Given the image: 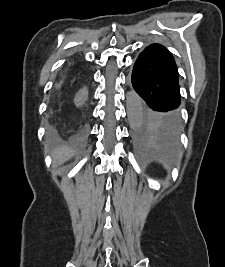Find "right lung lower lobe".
Instances as JSON below:
<instances>
[{"label":"right lung lower lobe","instance_id":"right-lung-lower-lobe-1","mask_svg":"<svg viewBox=\"0 0 225 267\" xmlns=\"http://www.w3.org/2000/svg\"><path fill=\"white\" fill-rule=\"evenodd\" d=\"M86 75L87 73L85 68L80 64L69 67L62 74V77L59 81V89H63L65 87H75L86 78Z\"/></svg>","mask_w":225,"mask_h":267}]
</instances>
